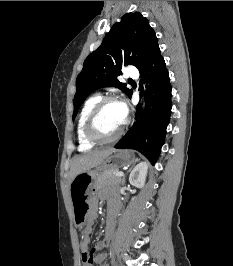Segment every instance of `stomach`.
<instances>
[{"mask_svg":"<svg viewBox=\"0 0 233 266\" xmlns=\"http://www.w3.org/2000/svg\"><path fill=\"white\" fill-rule=\"evenodd\" d=\"M130 163L131 156L127 151L114 150L96 169L84 171L74 177L70 183V195L74 221L77 224V228H84V225L87 224L84 216L87 213L91 199L95 195L96 179L100 174L97 170L100 168L103 171L117 170Z\"/></svg>","mask_w":233,"mask_h":266,"instance_id":"0dacf381","label":"stomach"}]
</instances>
